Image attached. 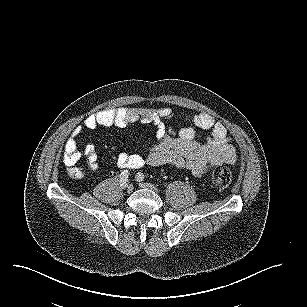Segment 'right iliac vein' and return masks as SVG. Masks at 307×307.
Listing matches in <instances>:
<instances>
[{
  "mask_svg": "<svg viewBox=\"0 0 307 307\" xmlns=\"http://www.w3.org/2000/svg\"><path fill=\"white\" fill-rule=\"evenodd\" d=\"M134 187L132 184H128L127 187H126V190L128 193H131L133 191Z\"/></svg>",
  "mask_w": 307,
  "mask_h": 307,
  "instance_id": "obj_1",
  "label": "right iliac vein"
}]
</instances>
